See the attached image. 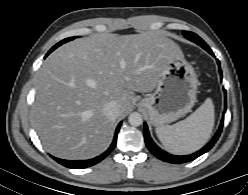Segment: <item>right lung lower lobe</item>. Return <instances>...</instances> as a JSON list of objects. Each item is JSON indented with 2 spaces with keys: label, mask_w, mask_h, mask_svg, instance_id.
<instances>
[{
  "label": "right lung lower lobe",
  "mask_w": 248,
  "mask_h": 195,
  "mask_svg": "<svg viewBox=\"0 0 248 195\" xmlns=\"http://www.w3.org/2000/svg\"><path fill=\"white\" fill-rule=\"evenodd\" d=\"M121 124L122 123L120 122L116 128L114 139H113V142H112L111 146L109 147V149L106 152H104L103 154H101V155H99L93 159L72 161V160L59 159V158H56L53 156H52V158L55 161H57L58 163H60L61 165L68 167V168L82 169V168H87V167L93 166V165L97 164L98 162L102 161L114 149V147L116 146V140H117V136H118V132L120 130Z\"/></svg>",
  "instance_id": "98d812e1"
}]
</instances>
